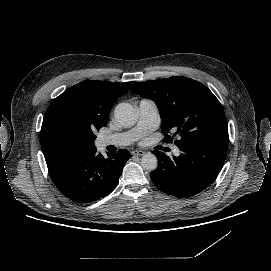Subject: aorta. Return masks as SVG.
Here are the masks:
<instances>
[{
  "mask_svg": "<svg viewBox=\"0 0 271 271\" xmlns=\"http://www.w3.org/2000/svg\"><path fill=\"white\" fill-rule=\"evenodd\" d=\"M114 117L117 123L124 128L132 127L138 120V115L134 107L129 103H119L115 107ZM141 166L147 171L155 170L157 167V157L150 152L144 154L141 158Z\"/></svg>",
  "mask_w": 271,
  "mask_h": 271,
  "instance_id": "762f6f07",
  "label": "aorta"
}]
</instances>
